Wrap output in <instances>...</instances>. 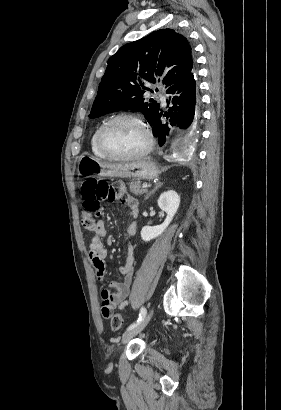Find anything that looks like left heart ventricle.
<instances>
[{
  "instance_id": "left-heart-ventricle-1",
  "label": "left heart ventricle",
  "mask_w": 281,
  "mask_h": 410,
  "mask_svg": "<svg viewBox=\"0 0 281 410\" xmlns=\"http://www.w3.org/2000/svg\"><path fill=\"white\" fill-rule=\"evenodd\" d=\"M104 142L115 153L132 154L141 151L145 147L147 137L139 124L123 119L113 123L107 129Z\"/></svg>"
}]
</instances>
